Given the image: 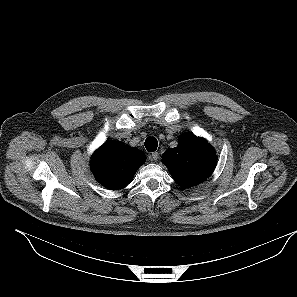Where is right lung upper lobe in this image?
I'll return each mask as SVG.
<instances>
[{
    "mask_svg": "<svg viewBox=\"0 0 297 297\" xmlns=\"http://www.w3.org/2000/svg\"><path fill=\"white\" fill-rule=\"evenodd\" d=\"M145 154L122 142L108 141L94 152L91 170L98 182L109 189H122L145 162Z\"/></svg>",
    "mask_w": 297,
    "mask_h": 297,
    "instance_id": "obj_1",
    "label": "right lung upper lobe"
}]
</instances>
